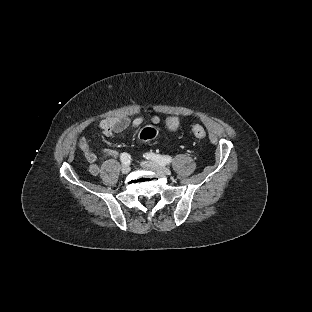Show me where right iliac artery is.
Returning <instances> with one entry per match:
<instances>
[{
  "mask_svg": "<svg viewBox=\"0 0 312 312\" xmlns=\"http://www.w3.org/2000/svg\"><path fill=\"white\" fill-rule=\"evenodd\" d=\"M120 159H121V162L123 164H130L131 162V157L128 153H122L121 156H120Z\"/></svg>",
  "mask_w": 312,
  "mask_h": 312,
  "instance_id": "1",
  "label": "right iliac artery"
}]
</instances>
